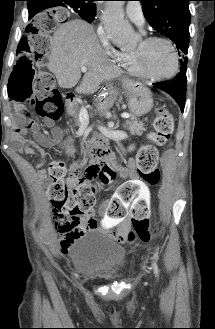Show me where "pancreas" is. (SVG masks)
Returning a JSON list of instances; mask_svg holds the SVG:
<instances>
[{"instance_id":"cf45deb5","label":"pancreas","mask_w":215,"mask_h":329,"mask_svg":"<svg viewBox=\"0 0 215 329\" xmlns=\"http://www.w3.org/2000/svg\"><path fill=\"white\" fill-rule=\"evenodd\" d=\"M72 117L74 118V123L76 126L80 125L79 120V110L76 105H73V110L71 112ZM124 128L130 131L131 135H142L143 131H146L144 123L138 121L136 118H131L130 121H126Z\"/></svg>"}]
</instances>
